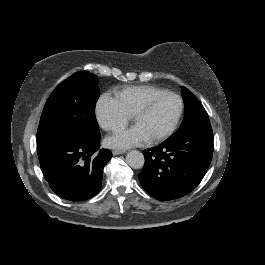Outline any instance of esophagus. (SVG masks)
<instances>
[{
    "label": "esophagus",
    "mask_w": 265,
    "mask_h": 265,
    "mask_svg": "<svg viewBox=\"0 0 265 265\" xmlns=\"http://www.w3.org/2000/svg\"><path fill=\"white\" fill-rule=\"evenodd\" d=\"M126 151L124 149H114L112 150L113 155H120L125 153Z\"/></svg>",
    "instance_id": "34e87169"
}]
</instances>
